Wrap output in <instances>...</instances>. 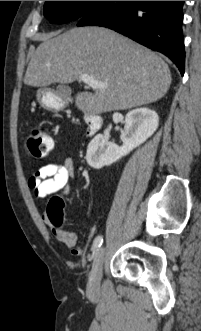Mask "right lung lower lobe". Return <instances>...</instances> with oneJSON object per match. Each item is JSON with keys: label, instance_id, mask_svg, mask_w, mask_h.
<instances>
[{"label": "right lung lower lobe", "instance_id": "obj_1", "mask_svg": "<svg viewBox=\"0 0 201 331\" xmlns=\"http://www.w3.org/2000/svg\"><path fill=\"white\" fill-rule=\"evenodd\" d=\"M184 1H103L77 26H102L168 56L184 74Z\"/></svg>", "mask_w": 201, "mask_h": 331}]
</instances>
